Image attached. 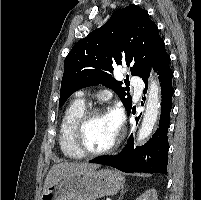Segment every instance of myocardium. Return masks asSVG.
Segmentation results:
<instances>
[{
    "instance_id": "1",
    "label": "myocardium",
    "mask_w": 201,
    "mask_h": 200,
    "mask_svg": "<svg viewBox=\"0 0 201 200\" xmlns=\"http://www.w3.org/2000/svg\"><path fill=\"white\" fill-rule=\"evenodd\" d=\"M107 114L106 110L102 107L90 106L84 109L81 115L76 120L73 130H72V142L74 147L83 155V156H99L108 154L114 151L120 142V138L117 134L114 141L107 147L100 150H90L88 149L83 142V132L87 122L96 115Z\"/></svg>"
}]
</instances>
